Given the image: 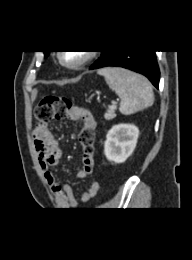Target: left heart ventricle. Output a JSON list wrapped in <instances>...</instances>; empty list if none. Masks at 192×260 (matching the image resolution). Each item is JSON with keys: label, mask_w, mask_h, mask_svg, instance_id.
Segmentation results:
<instances>
[{"label": "left heart ventricle", "mask_w": 192, "mask_h": 260, "mask_svg": "<svg viewBox=\"0 0 192 260\" xmlns=\"http://www.w3.org/2000/svg\"><path fill=\"white\" fill-rule=\"evenodd\" d=\"M83 55L84 52L81 51H68L63 54L65 61L69 63L77 62Z\"/></svg>", "instance_id": "left-heart-ventricle-1"}]
</instances>
